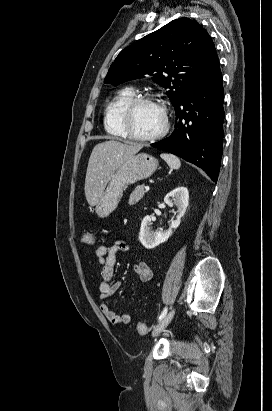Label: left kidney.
Segmentation results:
<instances>
[{"instance_id":"left-kidney-1","label":"left kidney","mask_w":272,"mask_h":411,"mask_svg":"<svg viewBox=\"0 0 272 411\" xmlns=\"http://www.w3.org/2000/svg\"><path fill=\"white\" fill-rule=\"evenodd\" d=\"M164 202L169 206L177 207V216L169 226L168 230H158L153 232L151 230V217L145 216L141 223L139 240L141 244L147 248L152 249L166 242L172 235L173 230L177 229L181 223V218L184 216L189 204V193L186 187H177L164 197Z\"/></svg>"}]
</instances>
